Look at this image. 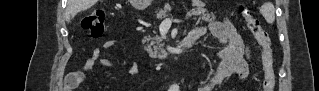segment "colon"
Returning a JSON list of instances; mask_svg holds the SVG:
<instances>
[{
    "instance_id": "colon-1",
    "label": "colon",
    "mask_w": 319,
    "mask_h": 91,
    "mask_svg": "<svg viewBox=\"0 0 319 91\" xmlns=\"http://www.w3.org/2000/svg\"><path fill=\"white\" fill-rule=\"evenodd\" d=\"M239 11L247 21L248 28L261 47L263 85L262 91H272L275 85V71L273 66V54L268 34L261 27L260 21L253 16L249 8L240 5ZM106 14L102 10L92 11L81 21V27L91 37H100L105 31Z\"/></svg>"
}]
</instances>
